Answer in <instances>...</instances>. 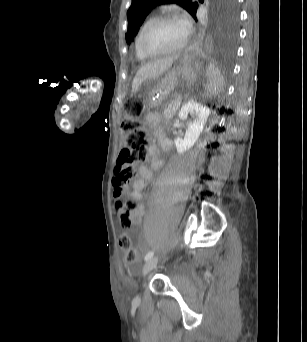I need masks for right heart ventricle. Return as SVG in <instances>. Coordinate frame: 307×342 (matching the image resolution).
I'll use <instances>...</instances> for the list:
<instances>
[{
    "instance_id": "1",
    "label": "right heart ventricle",
    "mask_w": 307,
    "mask_h": 342,
    "mask_svg": "<svg viewBox=\"0 0 307 342\" xmlns=\"http://www.w3.org/2000/svg\"><path fill=\"white\" fill-rule=\"evenodd\" d=\"M155 17V14L152 11H148L144 14V16L142 17V19L140 20L138 27H137V31H136V36H135V55L137 57L138 60L140 61H148L149 58L145 57L139 50V38L140 35L143 31V29L145 28V25L152 19Z\"/></svg>"
}]
</instances>
